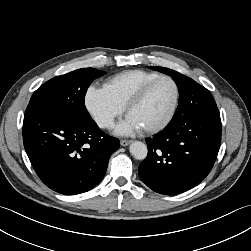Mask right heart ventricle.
<instances>
[{"label": "right heart ventricle", "instance_id": "obj_1", "mask_svg": "<svg viewBox=\"0 0 251 251\" xmlns=\"http://www.w3.org/2000/svg\"><path fill=\"white\" fill-rule=\"evenodd\" d=\"M159 75L158 72L143 69L126 70L109 77L104 83V88L125 108L142 85Z\"/></svg>", "mask_w": 251, "mask_h": 251}]
</instances>
